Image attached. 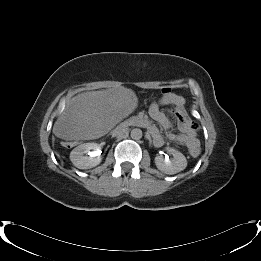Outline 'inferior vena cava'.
I'll list each match as a JSON object with an SVG mask.
<instances>
[{"instance_id":"obj_1","label":"inferior vena cava","mask_w":261,"mask_h":261,"mask_svg":"<svg viewBox=\"0 0 261 261\" xmlns=\"http://www.w3.org/2000/svg\"><path fill=\"white\" fill-rule=\"evenodd\" d=\"M124 130H125V128L122 127V128H120V129H118L117 132H118V133H121V132H123Z\"/></svg>"}]
</instances>
